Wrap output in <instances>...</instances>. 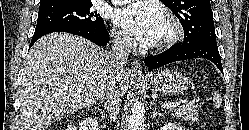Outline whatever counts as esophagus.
Instances as JSON below:
<instances>
[{"mask_svg":"<svg viewBox=\"0 0 249 130\" xmlns=\"http://www.w3.org/2000/svg\"><path fill=\"white\" fill-rule=\"evenodd\" d=\"M131 71L134 75L136 76H143V69L140 61L136 58L133 59L132 64H131Z\"/></svg>","mask_w":249,"mask_h":130,"instance_id":"obj_1","label":"esophagus"}]
</instances>
